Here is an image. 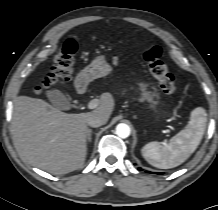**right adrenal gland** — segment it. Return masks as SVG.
<instances>
[{
  "mask_svg": "<svg viewBox=\"0 0 218 210\" xmlns=\"http://www.w3.org/2000/svg\"><path fill=\"white\" fill-rule=\"evenodd\" d=\"M91 130H89V133H88V141L90 142L91 141Z\"/></svg>",
  "mask_w": 218,
  "mask_h": 210,
  "instance_id": "2a0ac1e0",
  "label": "right adrenal gland"
}]
</instances>
